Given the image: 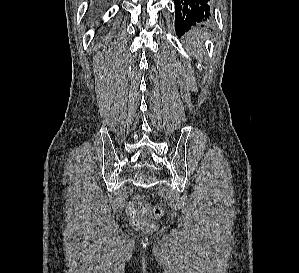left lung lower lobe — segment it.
Here are the masks:
<instances>
[{
	"label": "left lung lower lobe",
	"instance_id": "1",
	"mask_svg": "<svg viewBox=\"0 0 299 273\" xmlns=\"http://www.w3.org/2000/svg\"><path fill=\"white\" fill-rule=\"evenodd\" d=\"M209 0H174L176 6L175 30L180 37L192 25L207 21L209 18Z\"/></svg>",
	"mask_w": 299,
	"mask_h": 273
}]
</instances>
